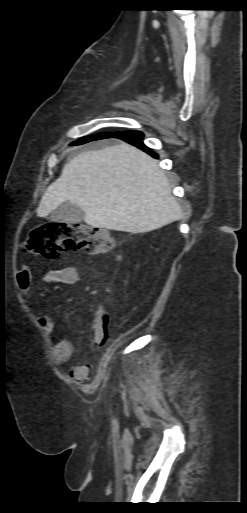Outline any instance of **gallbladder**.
I'll return each instance as SVG.
<instances>
[{"label":"gallbladder","instance_id":"1","mask_svg":"<svg viewBox=\"0 0 247 513\" xmlns=\"http://www.w3.org/2000/svg\"><path fill=\"white\" fill-rule=\"evenodd\" d=\"M83 218L84 212L76 204H73L69 201L59 205L49 217L50 220L65 222L68 224L80 223Z\"/></svg>","mask_w":247,"mask_h":513}]
</instances>
